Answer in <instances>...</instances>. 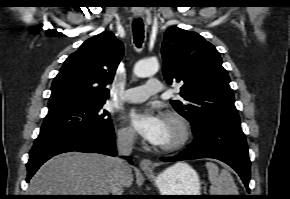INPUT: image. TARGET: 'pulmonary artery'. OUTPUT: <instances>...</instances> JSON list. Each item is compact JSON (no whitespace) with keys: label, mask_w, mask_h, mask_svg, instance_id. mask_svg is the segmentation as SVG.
I'll return each instance as SVG.
<instances>
[{"label":"pulmonary artery","mask_w":290,"mask_h":199,"mask_svg":"<svg viewBox=\"0 0 290 199\" xmlns=\"http://www.w3.org/2000/svg\"><path fill=\"white\" fill-rule=\"evenodd\" d=\"M162 90V83L157 79H151L145 85L126 89L123 93V100L132 103L142 102L151 95L161 93Z\"/></svg>","instance_id":"e3ab8cb5"}]
</instances>
